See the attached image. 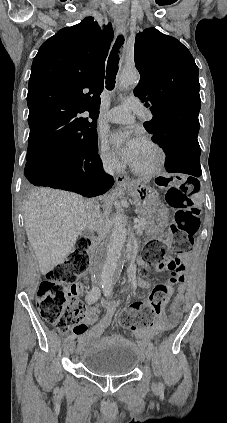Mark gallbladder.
Here are the masks:
<instances>
[{"instance_id":"bac80fb5","label":"gallbladder","mask_w":227,"mask_h":423,"mask_svg":"<svg viewBox=\"0 0 227 423\" xmlns=\"http://www.w3.org/2000/svg\"><path fill=\"white\" fill-rule=\"evenodd\" d=\"M27 186H29V184H27ZM89 233L90 231H83L82 235H87V237H89Z\"/></svg>"}]
</instances>
